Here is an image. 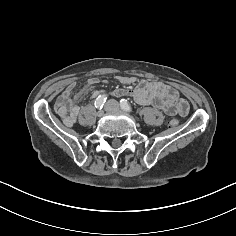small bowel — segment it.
<instances>
[{"mask_svg":"<svg viewBox=\"0 0 236 236\" xmlns=\"http://www.w3.org/2000/svg\"><path fill=\"white\" fill-rule=\"evenodd\" d=\"M117 81L124 85H135L133 89L119 88L116 96L130 95L136 103L163 110L168 115L185 116L189 112L188 103L179 97L178 92L169 85L157 80L139 79L131 76H118ZM97 78L88 79L86 86L77 90L76 83H70L56 100V112L66 126L74 124L80 113L79 102L87 91L98 84ZM100 91H94L97 96Z\"/></svg>","mask_w":236,"mask_h":236,"instance_id":"c3829d8e","label":"small bowel"}]
</instances>
